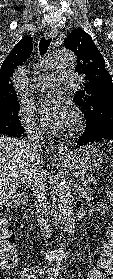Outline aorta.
<instances>
[{"instance_id":"1","label":"aorta","mask_w":113,"mask_h":279,"mask_svg":"<svg viewBox=\"0 0 113 279\" xmlns=\"http://www.w3.org/2000/svg\"><path fill=\"white\" fill-rule=\"evenodd\" d=\"M75 63V54L71 50L65 48L54 51L49 60V65L52 67H72ZM54 194L57 197L60 222L69 235L74 234L76 214L70 192L67 189L64 178L61 176L55 178Z\"/></svg>"}]
</instances>
